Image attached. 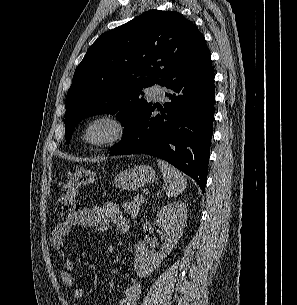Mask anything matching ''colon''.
Segmentation results:
<instances>
[{"instance_id": "5ec220e1", "label": "colon", "mask_w": 297, "mask_h": 305, "mask_svg": "<svg viewBox=\"0 0 297 305\" xmlns=\"http://www.w3.org/2000/svg\"><path fill=\"white\" fill-rule=\"evenodd\" d=\"M96 179L97 174L88 169H77L69 173L67 181L60 191L56 203V212L64 215L78 210L80 206V188L94 183Z\"/></svg>"}]
</instances>
